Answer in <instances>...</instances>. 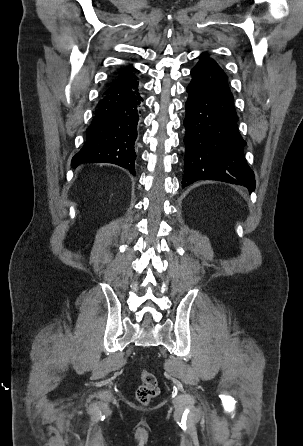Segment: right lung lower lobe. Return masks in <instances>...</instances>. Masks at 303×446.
<instances>
[{
	"instance_id": "right-lung-lower-lobe-1",
	"label": "right lung lower lobe",
	"mask_w": 303,
	"mask_h": 446,
	"mask_svg": "<svg viewBox=\"0 0 303 446\" xmlns=\"http://www.w3.org/2000/svg\"><path fill=\"white\" fill-rule=\"evenodd\" d=\"M142 101L136 76L113 81L99 100L86 142L72 159L73 168L82 163L107 162L135 175L134 145Z\"/></svg>"
}]
</instances>
